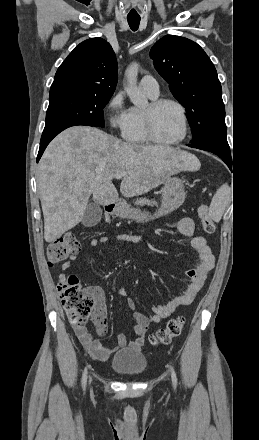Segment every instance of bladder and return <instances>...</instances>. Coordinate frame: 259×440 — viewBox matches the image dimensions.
<instances>
[{
  "label": "bladder",
  "mask_w": 259,
  "mask_h": 440,
  "mask_svg": "<svg viewBox=\"0 0 259 440\" xmlns=\"http://www.w3.org/2000/svg\"><path fill=\"white\" fill-rule=\"evenodd\" d=\"M147 366L145 355L138 350L121 349L115 353L111 360V368L114 372L125 376H138Z\"/></svg>",
  "instance_id": "bladder-1"
}]
</instances>
